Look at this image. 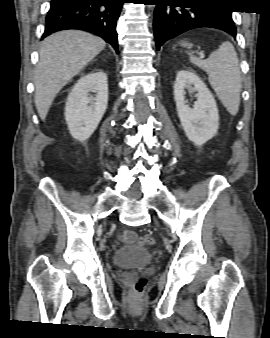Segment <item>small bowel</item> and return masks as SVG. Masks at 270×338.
I'll return each instance as SVG.
<instances>
[{
    "label": "small bowel",
    "mask_w": 270,
    "mask_h": 338,
    "mask_svg": "<svg viewBox=\"0 0 270 338\" xmlns=\"http://www.w3.org/2000/svg\"><path fill=\"white\" fill-rule=\"evenodd\" d=\"M133 237V234L128 232V231H124L122 234H121V238L125 239V238H132Z\"/></svg>",
    "instance_id": "c3829d8e"
}]
</instances>
